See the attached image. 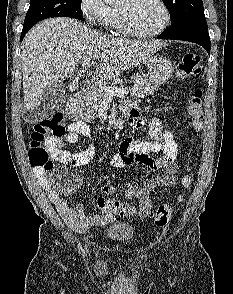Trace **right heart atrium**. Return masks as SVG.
Masks as SVG:
<instances>
[{"mask_svg": "<svg viewBox=\"0 0 233 294\" xmlns=\"http://www.w3.org/2000/svg\"><path fill=\"white\" fill-rule=\"evenodd\" d=\"M80 11L90 25L101 29L111 27L113 9L104 0H80Z\"/></svg>", "mask_w": 233, "mask_h": 294, "instance_id": "obj_1", "label": "right heart atrium"}]
</instances>
